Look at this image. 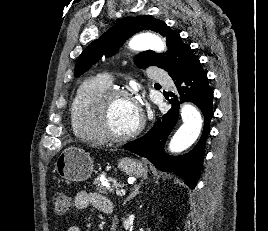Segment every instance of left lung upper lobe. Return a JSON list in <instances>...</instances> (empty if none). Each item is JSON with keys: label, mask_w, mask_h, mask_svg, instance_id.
Here are the masks:
<instances>
[{"label": "left lung upper lobe", "mask_w": 268, "mask_h": 231, "mask_svg": "<svg viewBox=\"0 0 268 231\" xmlns=\"http://www.w3.org/2000/svg\"><path fill=\"white\" fill-rule=\"evenodd\" d=\"M151 30L166 38L168 50L165 54L145 51L135 57L140 67L155 65L166 70L169 75L181 72L196 56L188 44L182 41L179 33L170 29L164 21L151 16H137L119 21L99 39L87 46L79 56L74 74L76 77L87 71L103 55L111 56L123 41L137 32Z\"/></svg>", "instance_id": "5c2ea615"}]
</instances>
